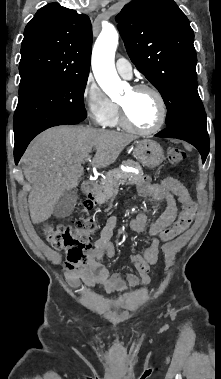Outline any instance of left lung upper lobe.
Returning <instances> with one entry per match:
<instances>
[{"label":"left lung upper lobe","instance_id":"5c2ea615","mask_svg":"<svg viewBox=\"0 0 221 379\" xmlns=\"http://www.w3.org/2000/svg\"><path fill=\"white\" fill-rule=\"evenodd\" d=\"M127 53L160 92L167 126L207 129L197 91V56L188 18L173 0H133L116 16Z\"/></svg>","mask_w":221,"mask_h":379}]
</instances>
